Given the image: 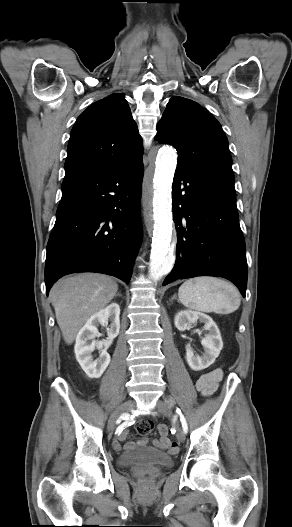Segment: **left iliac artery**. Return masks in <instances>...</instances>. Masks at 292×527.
Returning <instances> with one entry per match:
<instances>
[{
	"mask_svg": "<svg viewBox=\"0 0 292 527\" xmlns=\"http://www.w3.org/2000/svg\"><path fill=\"white\" fill-rule=\"evenodd\" d=\"M176 412H177V414H178L179 417H180V421H181V424H182L183 431H184L185 433H187V431H188V425H187L186 418L184 417V415L182 414V412L180 411V409L177 408Z\"/></svg>",
	"mask_w": 292,
	"mask_h": 527,
	"instance_id": "left-iliac-artery-1",
	"label": "left iliac artery"
}]
</instances>
